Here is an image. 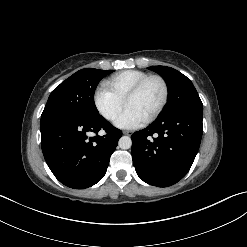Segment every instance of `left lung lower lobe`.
Segmentation results:
<instances>
[{"label": "left lung lower lobe", "mask_w": 247, "mask_h": 247, "mask_svg": "<svg viewBox=\"0 0 247 247\" xmlns=\"http://www.w3.org/2000/svg\"><path fill=\"white\" fill-rule=\"evenodd\" d=\"M203 110H180L132 135V158L146 183L167 187L189 171L198 152Z\"/></svg>", "instance_id": "0a47b994"}]
</instances>
